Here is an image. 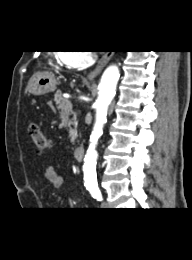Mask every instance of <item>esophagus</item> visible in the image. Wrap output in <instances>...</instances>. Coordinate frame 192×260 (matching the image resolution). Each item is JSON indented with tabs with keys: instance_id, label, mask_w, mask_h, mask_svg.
<instances>
[{
	"instance_id": "1",
	"label": "esophagus",
	"mask_w": 192,
	"mask_h": 260,
	"mask_svg": "<svg viewBox=\"0 0 192 260\" xmlns=\"http://www.w3.org/2000/svg\"><path fill=\"white\" fill-rule=\"evenodd\" d=\"M112 55H113V53H109V52L104 54L102 56V58L100 59V61L98 62L95 69L88 74V78L94 79L98 74H100V72L103 70V68L106 66V64L111 59Z\"/></svg>"
}]
</instances>
